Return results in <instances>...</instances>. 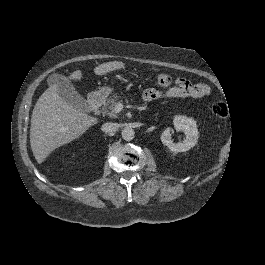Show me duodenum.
Listing matches in <instances>:
<instances>
[{"instance_id": "obj_1", "label": "duodenum", "mask_w": 265, "mask_h": 265, "mask_svg": "<svg viewBox=\"0 0 265 265\" xmlns=\"http://www.w3.org/2000/svg\"><path fill=\"white\" fill-rule=\"evenodd\" d=\"M103 102V96L99 93H92L88 97V104L91 110L97 111Z\"/></svg>"}]
</instances>
